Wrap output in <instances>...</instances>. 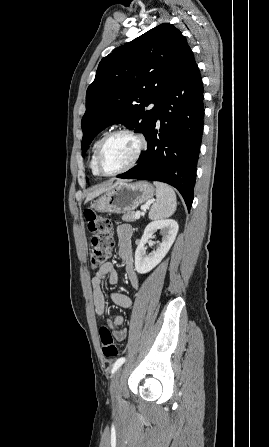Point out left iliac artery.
<instances>
[{
	"label": "left iliac artery",
	"instance_id": "obj_1",
	"mask_svg": "<svg viewBox=\"0 0 269 447\" xmlns=\"http://www.w3.org/2000/svg\"><path fill=\"white\" fill-rule=\"evenodd\" d=\"M124 362V357L119 358L113 365L112 373H114Z\"/></svg>",
	"mask_w": 269,
	"mask_h": 447
}]
</instances>
